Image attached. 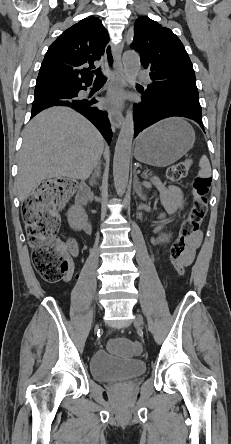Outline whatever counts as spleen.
<instances>
[{
    "instance_id": "spleen-1",
    "label": "spleen",
    "mask_w": 231,
    "mask_h": 444,
    "mask_svg": "<svg viewBox=\"0 0 231 444\" xmlns=\"http://www.w3.org/2000/svg\"><path fill=\"white\" fill-rule=\"evenodd\" d=\"M199 166H200V171L198 173V176L200 178H209L211 175V166L206 156L201 157Z\"/></svg>"
}]
</instances>
